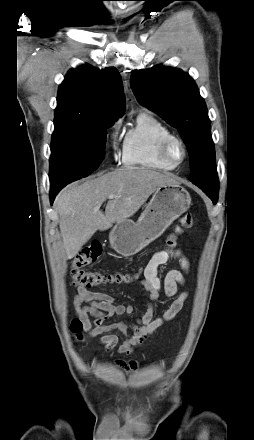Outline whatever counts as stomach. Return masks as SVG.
Segmentation results:
<instances>
[{"instance_id":"stomach-1","label":"stomach","mask_w":254,"mask_h":440,"mask_svg":"<svg viewBox=\"0 0 254 440\" xmlns=\"http://www.w3.org/2000/svg\"><path fill=\"white\" fill-rule=\"evenodd\" d=\"M191 204L190 194L178 184L158 187L137 222L125 219L118 222L109 234L111 247L120 255L132 256L155 239L186 212Z\"/></svg>"}]
</instances>
